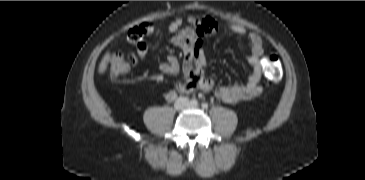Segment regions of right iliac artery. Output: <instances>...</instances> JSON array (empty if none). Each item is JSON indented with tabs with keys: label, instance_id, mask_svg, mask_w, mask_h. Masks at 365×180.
I'll use <instances>...</instances> for the list:
<instances>
[{
	"label": "right iliac artery",
	"instance_id": "1",
	"mask_svg": "<svg viewBox=\"0 0 365 180\" xmlns=\"http://www.w3.org/2000/svg\"><path fill=\"white\" fill-rule=\"evenodd\" d=\"M190 104H191L192 106H197V105H198V101H197L196 99H191V100H190Z\"/></svg>",
	"mask_w": 365,
	"mask_h": 180
}]
</instances>
